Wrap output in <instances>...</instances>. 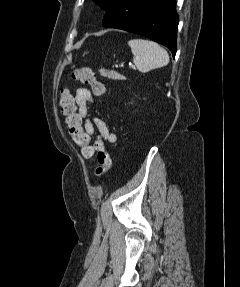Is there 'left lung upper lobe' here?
<instances>
[{
	"label": "left lung upper lobe",
	"instance_id": "1",
	"mask_svg": "<svg viewBox=\"0 0 240 287\" xmlns=\"http://www.w3.org/2000/svg\"><path fill=\"white\" fill-rule=\"evenodd\" d=\"M95 3H97L101 8H103L104 10L106 9L108 3L110 2V0H93Z\"/></svg>",
	"mask_w": 240,
	"mask_h": 287
}]
</instances>
